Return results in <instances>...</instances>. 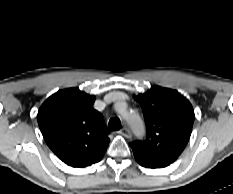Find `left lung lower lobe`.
I'll return each instance as SVG.
<instances>
[{"instance_id": "0a47b994", "label": "left lung lower lobe", "mask_w": 233, "mask_h": 194, "mask_svg": "<svg viewBox=\"0 0 233 194\" xmlns=\"http://www.w3.org/2000/svg\"><path fill=\"white\" fill-rule=\"evenodd\" d=\"M135 159L137 160L139 164L147 168H163L169 165L168 163L155 162V161H151V160H147V159L139 158V157H135Z\"/></svg>"}]
</instances>
